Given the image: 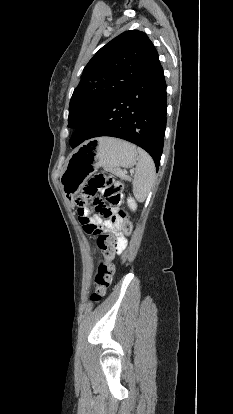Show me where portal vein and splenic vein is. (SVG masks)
I'll list each match as a JSON object with an SVG mask.
<instances>
[{
  "label": "portal vein and splenic vein",
  "instance_id": "portal-vein-and-splenic-vein-1",
  "mask_svg": "<svg viewBox=\"0 0 233 414\" xmlns=\"http://www.w3.org/2000/svg\"><path fill=\"white\" fill-rule=\"evenodd\" d=\"M130 173L132 174V173H134V171L133 170H130ZM123 175H124V173H122Z\"/></svg>",
  "mask_w": 233,
  "mask_h": 414
}]
</instances>
